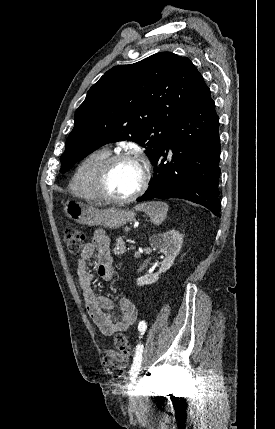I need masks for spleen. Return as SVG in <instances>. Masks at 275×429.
Returning a JSON list of instances; mask_svg holds the SVG:
<instances>
[{"label":"spleen","mask_w":275,"mask_h":429,"mask_svg":"<svg viewBox=\"0 0 275 429\" xmlns=\"http://www.w3.org/2000/svg\"><path fill=\"white\" fill-rule=\"evenodd\" d=\"M135 210L146 213L152 223L160 225L166 218L168 205L160 201H152L135 206Z\"/></svg>","instance_id":"3e777b00"}]
</instances>
